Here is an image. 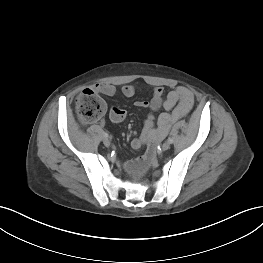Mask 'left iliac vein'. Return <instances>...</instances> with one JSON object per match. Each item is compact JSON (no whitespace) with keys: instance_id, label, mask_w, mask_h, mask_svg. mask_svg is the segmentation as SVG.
Returning a JSON list of instances; mask_svg holds the SVG:
<instances>
[{"instance_id":"obj_1","label":"left iliac vein","mask_w":263,"mask_h":263,"mask_svg":"<svg viewBox=\"0 0 263 263\" xmlns=\"http://www.w3.org/2000/svg\"><path fill=\"white\" fill-rule=\"evenodd\" d=\"M161 148H162L163 151H167L170 148V143L169 142H164L162 144Z\"/></svg>"}]
</instances>
